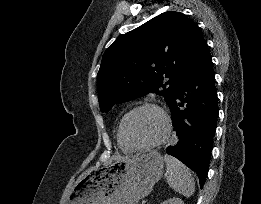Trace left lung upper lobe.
<instances>
[{
	"instance_id": "1",
	"label": "left lung upper lobe",
	"mask_w": 261,
	"mask_h": 204,
	"mask_svg": "<svg viewBox=\"0 0 261 204\" xmlns=\"http://www.w3.org/2000/svg\"><path fill=\"white\" fill-rule=\"evenodd\" d=\"M199 31L183 13L167 11L117 38L105 51L97 75L100 110L108 112L148 92L164 96L170 106Z\"/></svg>"
}]
</instances>
